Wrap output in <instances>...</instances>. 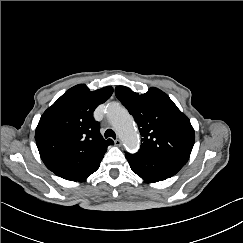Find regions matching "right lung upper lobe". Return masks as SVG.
Here are the masks:
<instances>
[{
    "label": "right lung upper lobe",
    "instance_id": "obj_1",
    "mask_svg": "<svg viewBox=\"0 0 243 243\" xmlns=\"http://www.w3.org/2000/svg\"><path fill=\"white\" fill-rule=\"evenodd\" d=\"M112 87L91 92L84 84L66 91L41 116L35 139L41 159L57 176L79 173L100 164L113 145L100 134L95 108L112 95Z\"/></svg>",
    "mask_w": 243,
    "mask_h": 243
}]
</instances>
